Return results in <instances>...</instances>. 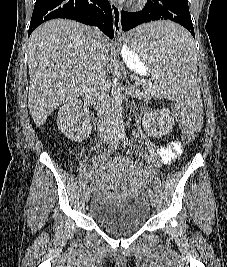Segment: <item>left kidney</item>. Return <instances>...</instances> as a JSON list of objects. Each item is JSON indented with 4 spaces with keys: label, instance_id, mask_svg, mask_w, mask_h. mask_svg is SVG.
Instances as JSON below:
<instances>
[{
    "label": "left kidney",
    "instance_id": "5707ae66",
    "mask_svg": "<svg viewBox=\"0 0 227 267\" xmlns=\"http://www.w3.org/2000/svg\"><path fill=\"white\" fill-rule=\"evenodd\" d=\"M144 127L148 135L162 137L172 131L174 118L166 108L147 113L143 118Z\"/></svg>",
    "mask_w": 227,
    "mask_h": 267
}]
</instances>
